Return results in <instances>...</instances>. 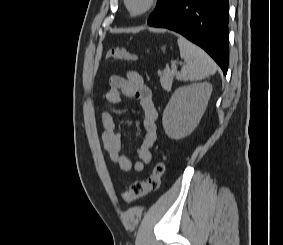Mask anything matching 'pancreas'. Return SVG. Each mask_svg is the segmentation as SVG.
Here are the masks:
<instances>
[{"mask_svg": "<svg viewBox=\"0 0 283 245\" xmlns=\"http://www.w3.org/2000/svg\"><path fill=\"white\" fill-rule=\"evenodd\" d=\"M161 86L166 90L170 91L174 78H178L179 73L176 70L164 69L159 72Z\"/></svg>", "mask_w": 283, "mask_h": 245, "instance_id": "pancreas-1", "label": "pancreas"}]
</instances>
